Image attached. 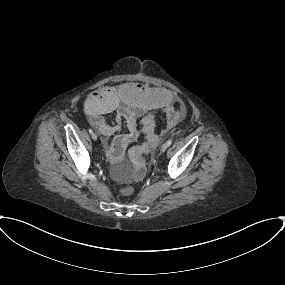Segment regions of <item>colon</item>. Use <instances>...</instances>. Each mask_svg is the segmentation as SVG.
<instances>
[{
	"instance_id": "1",
	"label": "colon",
	"mask_w": 285,
	"mask_h": 285,
	"mask_svg": "<svg viewBox=\"0 0 285 285\" xmlns=\"http://www.w3.org/2000/svg\"><path fill=\"white\" fill-rule=\"evenodd\" d=\"M178 116L176 113L171 115L169 123L171 126L175 125L177 122ZM168 123V122H167ZM141 126H142V133L145 138L151 140L152 142L155 141L158 137L157 135V122H156V114L148 113L141 119ZM143 153L139 152L136 154L137 163L134 166L129 180L137 181L142 178L145 173V164L142 161Z\"/></svg>"
}]
</instances>
